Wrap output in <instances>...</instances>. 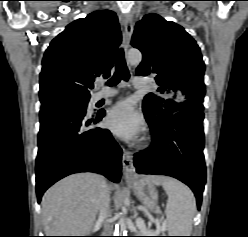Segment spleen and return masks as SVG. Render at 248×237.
<instances>
[{"instance_id": "obj_1", "label": "spleen", "mask_w": 248, "mask_h": 237, "mask_svg": "<svg viewBox=\"0 0 248 237\" xmlns=\"http://www.w3.org/2000/svg\"><path fill=\"white\" fill-rule=\"evenodd\" d=\"M162 185L168 196L165 214L169 236H190L196 211L193 193L172 178H165Z\"/></svg>"}]
</instances>
